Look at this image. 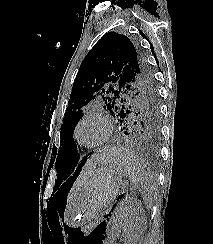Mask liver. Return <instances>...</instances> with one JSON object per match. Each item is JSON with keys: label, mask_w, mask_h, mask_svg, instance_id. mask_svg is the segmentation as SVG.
<instances>
[{"label": "liver", "mask_w": 213, "mask_h": 244, "mask_svg": "<svg viewBox=\"0 0 213 244\" xmlns=\"http://www.w3.org/2000/svg\"><path fill=\"white\" fill-rule=\"evenodd\" d=\"M109 156L108 152L94 154L86 163L83 170L80 173L76 183L72 188V192L69 196V199L76 193V190L84 183L87 176L96 168L98 163L105 161Z\"/></svg>", "instance_id": "liver-1"}]
</instances>
